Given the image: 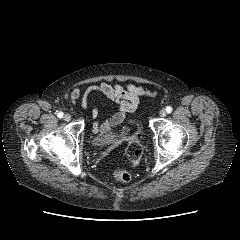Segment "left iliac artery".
Returning <instances> with one entry per match:
<instances>
[{
  "instance_id": "44dca946",
  "label": "left iliac artery",
  "mask_w": 240,
  "mask_h": 240,
  "mask_svg": "<svg viewBox=\"0 0 240 240\" xmlns=\"http://www.w3.org/2000/svg\"><path fill=\"white\" fill-rule=\"evenodd\" d=\"M165 110H166L167 113H171L172 112V107L171 106H167Z\"/></svg>"
}]
</instances>
